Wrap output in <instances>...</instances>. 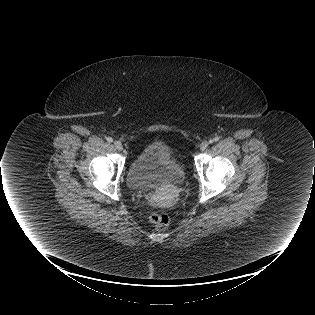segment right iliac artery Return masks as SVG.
<instances>
[{
  "label": "right iliac artery",
  "instance_id": "right-iliac-artery-1",
  "mask_svg": "<svg viewBox=\"0 0 315 315\" xmlns=\"http://www.w3.org/2000/svg\"><path fill=\"white\" fill-rule=\"evenodd\" d=\"M107 141H108L109 143H112V142H113V139H112L111 137H108V138H107Z\"/></svg>",
  "mask_w": 315,
  "mask_h": 315
}]
</instances>
